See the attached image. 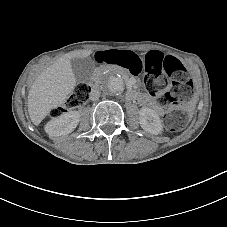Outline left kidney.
Returning a JSON list of instances; mask_svg holds the SVG:
<instances>
[{"label":"left kidney","instance_id":"5707ae66","mask_svg":"<svg viewBox=\"0 0 227 227\" xmlns=\"http://www.w3.org/2000/svg\"><path fill=\"white\" fill-rule=\"evenodd\" d=\"M139 122L141 127L151 134L158 135L163 131L161 119L153 109L142 107L139 111Z\"/></svg>","mask_w":227,"mask_h":227}]
</instances>
